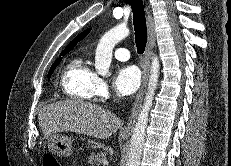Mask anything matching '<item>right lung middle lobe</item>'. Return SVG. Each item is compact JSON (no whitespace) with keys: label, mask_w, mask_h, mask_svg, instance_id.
Here are the masks:
<instances>
[{"label":"right lung middle lobe","mask_w":231,"mask_h":166,"mask_svg":"<svg viewBox=\"0 0 231 166\" xmlns=\"http://www.w3.org/2000/svg\"><path fill=\"white\" fill-rule=\"evenodd\" d=\"M66 54H67V52L61 53L60 56H63V55H66ZM61 60H62V58L57 59V60L54 62V64L51 66V68H50V70H49V72H48V80H50V77H51L52 73L54 72V70H55V68L57 67V65L61 62Z\"/></svg>","instance_id":"right-lung-middle-lobe-1"}]
</instances>
